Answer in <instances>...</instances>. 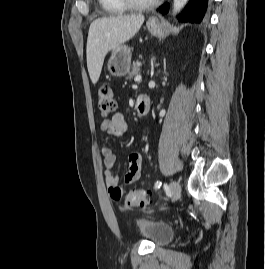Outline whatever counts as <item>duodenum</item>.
<instances>
[{"label":"duodenum","instance_id":"duodenum-1","mask_svg":"<svg viewBox=\"0 0 265 269\" xmlns=\"http://www.w3.org/2000/svg\"><path fill=\"white\" fill-rule=\"evenodd\" d=\"M136 109L139 116H145L150 109V100L147 95H139L136 101Z\"/></svg>","mask_w":265,"mask_h":269}]
</instances>
